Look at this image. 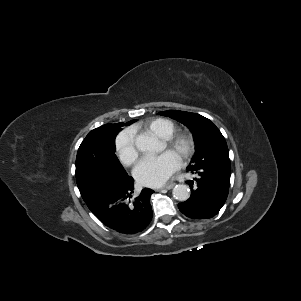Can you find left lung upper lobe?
<instances>
[{
  "label": "left lung upper lobe",
  "instance_id": "1",
  "mask_svg": "<svg viewBox=\"0 0 301 301\" xmlns=\"http://www.w3.org/2000/svg\"><path fill=\"white\" fill-rule=\"evenodd\" d=\"M186 125L193 134L195 153L187 170L212 168L231 172L229 151L219 129L207 118L190 112L168 110L159 112Z\"/></svg>",
  "mask_w": 301,
  "mask_h": 301
}]
</instances>
